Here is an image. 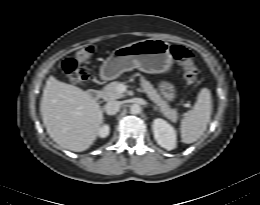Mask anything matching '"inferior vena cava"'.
I'll return each mask as SVG.
<instances>
[{"label":"inferior vena cava","mask_w":260,"mask_h":205,"mask_svg":"<svg viewBox=\"0 0 260 205\" xmlns=\"http://www.w3.org/2000/svg\"><path fill=\"white\" fill-rule=\"evenodd\" d=\"M121 107L120 101H110L105 105V111L108 115H115Z\"/></svg>","instance_id":"obj_1"}]
</instances>
